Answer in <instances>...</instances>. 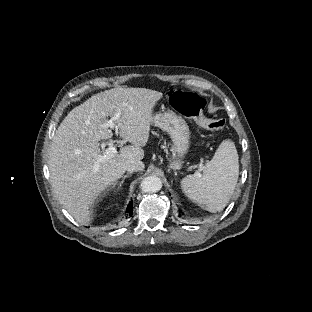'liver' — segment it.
<instances>
[{
	"label": "liver",
	"instance_id": "obj_1",
	"mask_svg": "<svg viewBox=\"0 0 312 312\" xmlns=\"http://www.w3.org/2000/svg\"><path fill=\"white\" fill-rule=\"evenodd\" d=\"M162 98V92L146 88H112L75 107L59 125L48 159L50 182L77 222L90 225L95 206L118 184L127 164L144 158L153 112ZM117 113L120 136L132 146L101 154L99 141L112 136L106 120Z\"/></svg>",
	"mask_w": 312,
	"mask_h": 312
}]
</instances>
